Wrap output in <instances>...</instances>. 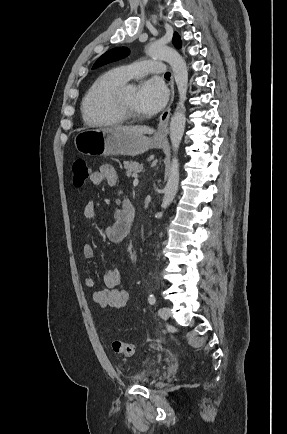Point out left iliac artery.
<instances>
[{"label":"left iliac artery","mask_w":287,"mask_h":434,"mask_svg":"<svg viewBox=\"0 0 287 434\" xmlns=\"http://www.w3.org/2000/svg\"><path fill=\"white\" fill-rule=\"evenodd\" d=\"M148 302H149L151 305H154V304L156 303V298H155V296H154L153 294H150V295H149V297H148Z\"/></svg>","instance_id":"1"}]
</instances>
